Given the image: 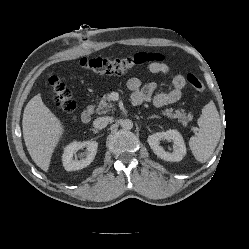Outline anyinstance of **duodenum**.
I'll list each match as a JSON object with an SVG mask.
<instances>
[{"mask_svg":"<svg viewBox=\"0 0 249 249\" xmlns=\"http://www.w3.org/2000/svg\"><path fill=\"white\" fill-rule=\"evenodd\" d=\"M93 111L91 108H87L83 111L81 119L83 123H89L92 119Z\"/></svg>","mask_w":249,"mask_h":249,"instance_id":"410a0bca","label":"duodenum"}]
</instances>
